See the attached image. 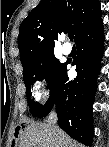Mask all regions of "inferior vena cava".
I'll return each mask as SVG.
<instances>
[{
  "label": "inferior vena cava",
  "instance_id": "602c4592",
  "mask_svg": "<svg viewBox=\"0 0 109 147\" xmlns=\"http://www.w3.org/2000/svg\"><path fill=\"white\" fill-rule=\"evenodd\" d=\"M56 123H57V114H56L55 111H52V112L49 114L47 124H48V126H49L50 128H55Z\"/></svg>",
  "mask_w": 109,
  "mask_h": 147
}]
</instances>
